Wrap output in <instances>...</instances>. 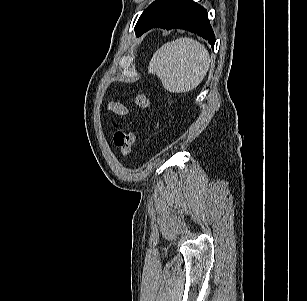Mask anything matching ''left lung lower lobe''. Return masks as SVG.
<instances>
[{
	"label": "left lung lower lobe",
	"mask_w": 307,
	"mask_h": 301,
	"mask_svg": "<svg viewBox=\"0 0 307 301\" xmlns=\"http://www.w3.org/2000/svg\"><path fill=\"white\" fill-rule=\"evenodd\" d=\"M155 27L188 30L208 40L212 47L215 44V36L209 23L207 11L193 0H179L159 22L148 27L142 34Z\"/></svg>",
	"instance_id": "left-lung-lower-lobe-1"
}]
</instances>
